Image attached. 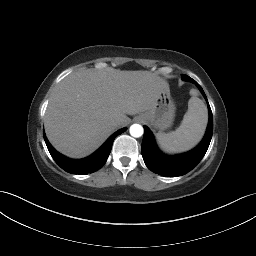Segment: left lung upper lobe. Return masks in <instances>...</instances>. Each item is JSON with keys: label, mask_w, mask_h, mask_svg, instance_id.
Segmentation results:
<instances>
[{"label": "left lung upper lobe", "mask_w": 256, "mask_h": 256, "mask_svg": "<svg viewBox=\"0 0 256 256\" xmlns=\"http://www.w3.org/2000/svg\"><path fill=\"white\" fill-rule=\"evenodd\" d=\"M188 76L187 75H182V79L187 80Z\"/></svg>", "instance_id": "1"}]
</instances>
